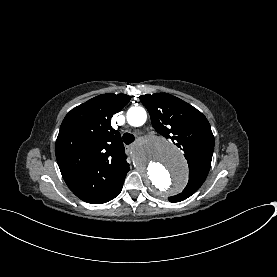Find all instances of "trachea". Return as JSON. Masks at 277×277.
Listing matches in <instances>:
<instances>
[{"label": "trachea", "instance_id": "3493384b", "mask_svg": "<svg viewBox=\"0 0 277 277\" xmlns=\"http://www.w3.org/2000/svg\"><path fill=\"white\" fill-rule=\"evenodd\" d=\"M135 140V136L130 133H124L123 134V141L126 145L131 144Z\"/></svg>", "mask_w": 277, "mask_h": 277}]
</instances>
